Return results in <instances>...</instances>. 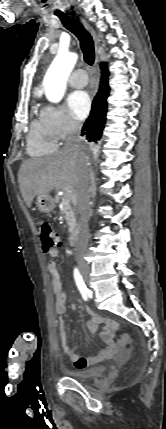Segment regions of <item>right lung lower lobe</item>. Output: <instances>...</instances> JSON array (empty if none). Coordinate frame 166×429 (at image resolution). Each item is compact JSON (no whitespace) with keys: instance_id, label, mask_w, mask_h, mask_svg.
Returning a JSON list of instances; mask_svg holds the SVG:
<instances>
[{"instance_id":"98d812e1","label":"right lung lower lobe","mask_w":166,"mask_h":429,"mask_svg":"<svg viewBox=\"0 0 166 429\" xmlns=\"http://www.w3.org/2000/svg\"><path fill=\"white\" fill-rule=\"evenodd\" d=\"M101 79L97 95L92 102V110L83 125L81 135L86 136L89 142H97L102 136L107 113V97L109 95V72L105 63L100 66Z\"/></svg>"}]
</instances>
